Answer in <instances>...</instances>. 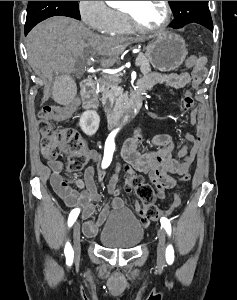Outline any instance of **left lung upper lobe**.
<instances>
[{"label":"left lung upper lobe","instance_id":"5c2ea615","mask_svg":"<svg viewBox=\"0 0 237 300\" xmlns=\"http://www.w3.org/2000/svg\"><path fill=\"white\" fill-rule=\"evenodd\" d=\"M174 21L173 28H182L189 23H197L212 31L213 23L208 7V1H169Z\"/></svg>","mask_w":237,"mask_h":300}]
</instances>
